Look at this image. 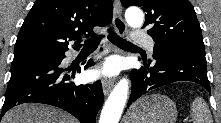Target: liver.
I'll return each mask as SVG.
<instances>
[{
  "label": "liver",
  "instance_id": "1",
  "mask_svg": "<svg viewBox=\"0 0 221 123\" xmlns=\"http://www.w3.org/2000/svg\"><path fill=\"white\" fill-rule=\"evenodd\" d=\"M1 123H77L68 113L43 104H21L7 111Z\"/></svg>",
  "mask_w": 221,
  "mask_h": 123
}]
</instances>
